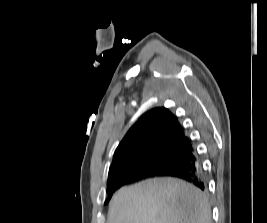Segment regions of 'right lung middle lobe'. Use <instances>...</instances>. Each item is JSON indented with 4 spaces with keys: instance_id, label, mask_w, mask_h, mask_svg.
<instances>
[{
    "instance_id": "dd1d6c3e",
    "label": "right lung middle lobe",
    "mask_w": 267,
    "mask_h": 223,
    "mask_svg": "<svg viewBox=\"0 0 267 223\" xmlns=\"http://www.w3.org/2000/svg\"><path fill=\"white\" fill-rule=\"evenodd\" d=\"M185 153V150L178 146H166L157 152L156 155L150 156L143 160H134L128 163L126 172L132 170L151 171L153 173H163L171 168L174 163L180 159ZM112 193L109 194L105 203L111 198Z\"/></svg>"
}]
</instances>
